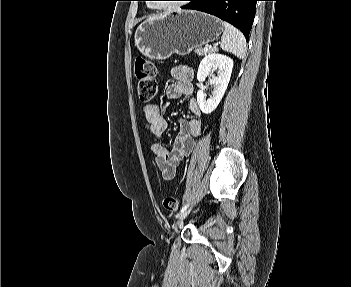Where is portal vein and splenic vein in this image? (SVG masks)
Returning <instances> with one entry per match:
<instances>
[{
	"mask_svg": "<svg viewBox=\"0 0 351 287\" xmlns=\"http://www.w3.org/2000/svg\"><path fill=\"white\" fill-rule=\"evenodd\" d=\"M204 50H205V51H208V47H204Z\"/></svg>",
	"mask_w": 351,
	"mask_h": 287,
	"instance_id": "obj_1",
	"label": "portal vein and splenic vein"
}]
</instances>
